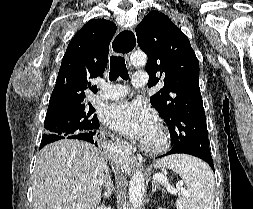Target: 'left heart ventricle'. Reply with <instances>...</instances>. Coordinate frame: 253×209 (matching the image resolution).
I'll return each instance as SVG.
<instances>
[{"label":"left heart ventricle","instance_id":"left-heart-ventricle-1","mask_svg":"<svg viewBox=\"0 0 253 209\" xmlns=\"http://www.w3.org/2000/svg\"><path fill=\"white\" fill-rule=\"evenodd\" d=\"M158 138V133L156 130V127L154 126L148 137L146 138L147 141L149 142H155Z\"/></svg>","mask_w":253,"mask_h":209}]
</instances>
